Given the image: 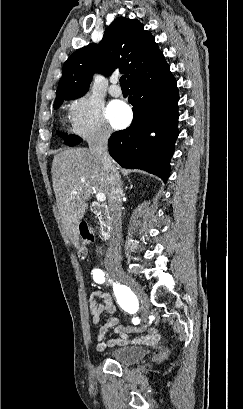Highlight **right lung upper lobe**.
I'll list each match as a JSON object with an SVG mask.
<instances>
[{"mask_svg":"<svg viewBox=\"0 0 243 409\" xmlns=\"http://www.w3.org/2000/svg\"><path fill=\"white\" fill-rule=\"evenodd\" d=\"M167 65L155 38L143 29V24L136 19L120 17L105 30L99 44L91 43L65 61L55 102L84 95L95 71L109 76L119 68L127 75L130 85Z\"/></svg>","mask_w":243,"mask_h":409,"instance_id":"1","label":"right lung upper lobe"}]
</instances>
